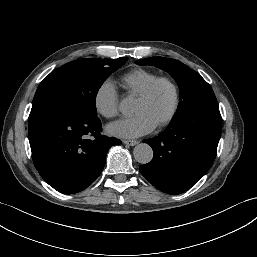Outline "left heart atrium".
Listing matches in <instances>:
<instances>
[{
  "instance_id": "left-heart-atrium-1",
  "label": "left heart atrium",
  "mask_w": 257,
  "mask_h": 257,
  "mask_svg": "<svg viewBox=\"0 0 257 257\" xmlns=\"http://www.w3.org/2000/svg\"><path fill=\"white\" fill-rule=\"evenodd\" d=\"M157 125L144 113H137L132 117L124 118L111 123L107 127V131L122 138H136L155 129Z\"/></svg>"
}]
</instances>
